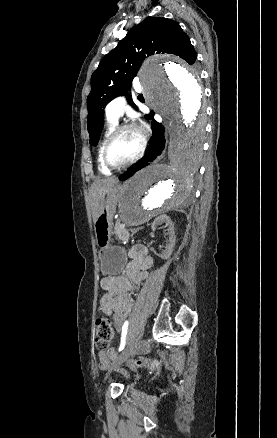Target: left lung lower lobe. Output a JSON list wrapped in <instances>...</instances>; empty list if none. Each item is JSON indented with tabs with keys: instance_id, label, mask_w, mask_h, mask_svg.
<instances>
[{
	"instance_id": "1",
	"label": "left lung lower lobe",
	"mask_w": 277,
	"mask_h": 438,
	"mask_svg": "<svg viewBox=\"0 0 277 438\" xmlns=\"http://www.w3.org/2000/svg\"><path fill=\"white\" fill-rule=\"evenodd\" d=\"M152 131L153 137L150 141V148L147 151V154L137 163L132 165L124 174H122L119 177L120 180L124 181L140 169L146 167L156 158L157 155H160V153L164 149V127L162 126V124L156 122L155 120H152Z\"/></svg>"
}]
</instances>
